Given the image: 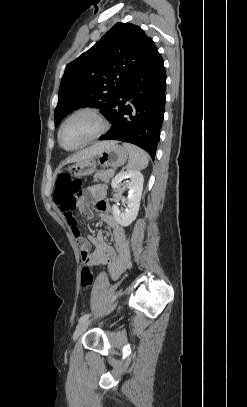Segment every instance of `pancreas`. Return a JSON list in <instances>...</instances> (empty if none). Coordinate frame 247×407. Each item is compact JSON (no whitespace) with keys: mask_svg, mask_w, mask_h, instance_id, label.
<instances>
[{"mask_svg":"<svg viewBox=\"0 0 247 407\" xmlns=\"http://www.w3.org/2000/svg\"><path fill=\"white\" fill-rule=\"evenodd\" d=\"M114 176L113 170H99L94 174V181L102 180L105 183H109L110 179Z\"/></svg>","mask_w":247,"mask_h":407,"instance_id":"obj_1","label":"pancreas"}]
</instances>
